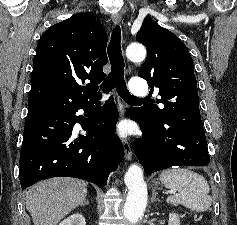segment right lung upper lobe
Wrapping results in <instances>:
<instances>
[{
	"label": "right lung upper lobe",
	"mask_w": 237,
	"mask_h": 225,
	"mask_svg": "<svg viewBox=\"0 0 237 225\" xmlns=\"http://www.w3.org/2000/svg\"><path fill=\"white\" fill-rule=\"evenodd\" d=\"M106 45L105 30L89 14H75L50 27L37 45L28 114L98 96L108 61ZM85 80L90 83L83 86Z\"/></svg>",
	"instance_id": "cb5924a9"
}]
</instances>
